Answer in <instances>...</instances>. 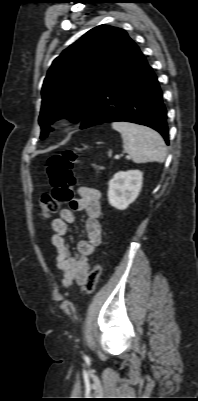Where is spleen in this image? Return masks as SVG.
<instances>
[{"label":"spleen","instance_id":"1","mask_svg":"<svg viewBox=\"0 0 198 401\" xmlns=\"http://www.w3.org/2000/svg\"><path fill=\"white\" fill-rule=\"evenodd\" d=\"M112 127L121 134L124 150L135 163L164 162L167 149L159 133L128 122H113Z\"/></svg>","mask_w":198,"mask_h":401}]
</instances>
